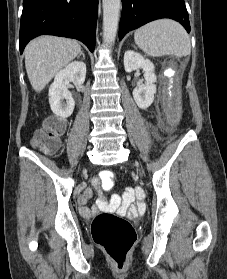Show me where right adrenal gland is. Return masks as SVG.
<instances>
[{"label": "right adrenal gland", "mask_w": 227, "mask_h": 279, "mask_svg": "<svg viewBox=\"0 0 227 279\" xmlns=\"http://www.w3.org/2000/svg\"><path fill=\"white\" fill-rule=\"evenodd\" d=\"M80 56H82V57H83V59H85V54L83 53V51H81V52H80V54H79V56H78V57H80Z\"/></svg>", "instance_id": "right-adrenal-gland-1"}]
</instances>
